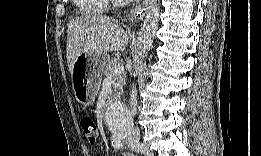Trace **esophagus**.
Here are the masks:
<instances>
[{
    "mask_svg": "<svg viewBox=\"0 0 261 156\" xmlns=\"http://www.w3.org/2000/svg\"><path fill=\"white\" fill-rule=\"evenodd\" d=\"M146 9L143 8V6H138V7H135L134 9L131 10V13H130V20L131 21H136L137 19H142L145 15L144 11Z\"/></svg>",
    "mask_w": 261,
    "mask_h": 156,
    "instance_id": "1",
    "label": "esophagus"
}]
</instances>
